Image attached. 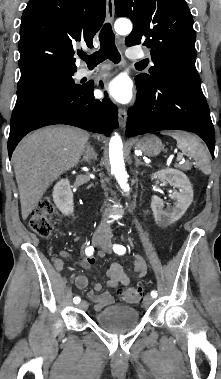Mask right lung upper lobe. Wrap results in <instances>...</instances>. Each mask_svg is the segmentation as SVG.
<instances>
[{
	"label": "right lung upper lobe",
	"mask_w": 221,
	"mask_h": 379,
	"mask_svg": "<svg viewBox=\"0 0 221 379\" xmlns=\"http://www.w3.org/2000/svg\"><path fill=\"white\" fill-rule=\"evenodd\" d=\"M105 7L106 0H30L20 26L19 82L53 70L76 69V44L93 47Z\"/></svg>",
	"instance_id": "1"
}]
</instances>
